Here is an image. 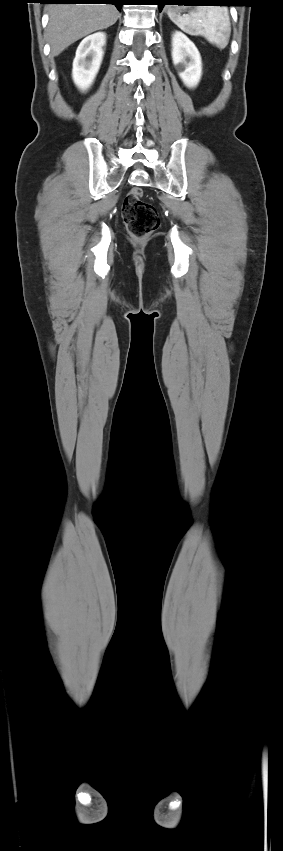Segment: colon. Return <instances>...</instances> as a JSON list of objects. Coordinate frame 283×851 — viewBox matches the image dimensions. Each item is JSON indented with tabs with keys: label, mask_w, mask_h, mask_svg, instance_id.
I'll use <instances>...</instances> for the list:
<instances>
[{
	"label": "colon",
	"mask_w": 283,
	"mask_h": 851,
	"mask_svg": "<svg viewBox=\"0 0 283 851\" xmlns=\"http://www.w3.org/2000/svg\"><path fill=\"white\" fill-rule=\"evenodd\" d=\"M142 194L141 188H131L122 206V217L127 230L137 240L147 238L160 224L157 209L151 203L142 200Z\"/></svg>",
	"instance_id": "obj_1"
}]
</instances>
